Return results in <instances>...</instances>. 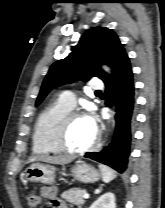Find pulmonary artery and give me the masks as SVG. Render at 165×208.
<instances>
[{
  "instance_id": "pulmonary-artery-1",
  "label": "pulmonary artery",
  "mask_w": 165,
  "mask_h": 208,
  "mask_svg": "<svg viewBox=\"0 0 165 208\" xmlns=\"http://www.w3.org/2000/svg\"><path fill=\"white\" fill-rule=\"evenodd\" d=\"M103 87V83L99 79L94 80L91 85V88L94 91H101ZM60 102L69 108H73L76 105V97L72 92L66 91L61 95Z\"/></svg>"
}]
</instances>
